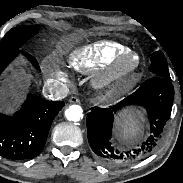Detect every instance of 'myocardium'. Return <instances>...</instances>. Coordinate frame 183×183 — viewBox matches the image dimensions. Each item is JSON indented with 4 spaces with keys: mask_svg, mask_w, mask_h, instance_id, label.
Instances as JSON below:
<instances>
[{
    "mask_svg": "<svg viewBox=\"0 0 183 183\" xmlns=\"http://www.w3.org/2000/svg\"><path fill=\"white\" fill-rule=\"evenodd\" d=\"M129 58H134L133 65H126ZM142 65L141 57L138 53L128 50L114 56L104 67L98 69L91 79L93 88L97 90H106L120 83H123L140 70Z\"/></svg>",
    "mask_w": 183,
    "mask_h": 183,
    "instance_id": "obj_1",
    "label": "myocardium"
}]
</instances>
